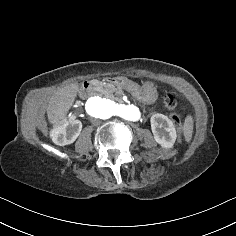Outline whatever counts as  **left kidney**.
Here are the masks:
<instances>
[{"label": "left kidney", "mask_w": 236, "mask_h": 236, "mask_svg": "<svg viewBox=\"0 0 236 236\" xmlns=\"http://www.w3.org/2000/svg\"><path fill=\"white\" fill-rule=\"evenodd\" d=\"M150 124L157 144L163 149L172 150L177 138L176 129L172 121L167 116L156 113L151 116Z\"/></svg>", "instance_id": "5707ae66"}]
</instances>
